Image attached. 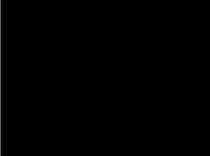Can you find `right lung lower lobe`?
Listing matches in <instances>:
<instances>
[{"label":"right lung lower lobe","instance_id":"obj_1","mask_svg":"<svg viewBox=\"0 0 210 156\" xmlns=\"http://www.w3.org/2000/svg\"><path fill=\"white\" fill-rule=\"evenodd\" d=\"M61 137L65 138V139H71L73 137H76V135L78 134V132H66V133H58Z\"/></svg>","mask_w":210,"mask_h":156}]
</instances>
